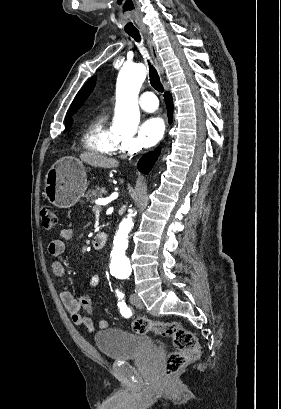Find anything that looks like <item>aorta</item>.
Masks as SVG:
<instances>
[{"label":"aorta","mask_w":281,"mask_h":409,"mask_svg":"<svg viewBox=\"0 0 281 409\" xmlns=\"http://www.w3.org/2000/svg\"><path fill=\"white\" fill-rule=\"evenodd\" d=\"M146 78L143 64H124L119 72L116 91L113 129L120 133L135 132L139 121L138 94ZM132 211L120 224V231L127 233L133 226Z\"/></svg>","instance_id":"762f6f07"}]
</instances>
